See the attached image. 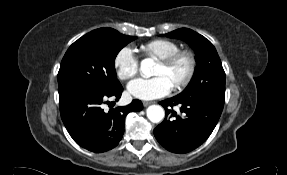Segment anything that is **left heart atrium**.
<instances>
[{"mask_svg":"<svg viewBox=\"0 0 287 175\" xmlns=\"http://www.w3.org/2000/svg\"><path fill=\"white\" fill-rule=\"evenodd\" d=\"M172 84L163 75L152 78H137L129 83L128 92L141 100H152L168 95L172 90Z\"/></svg>","mask_w":287,"mask_h":175,"instance_id":"39dd6f15","label":"left heart atrium"}]
</instances>
